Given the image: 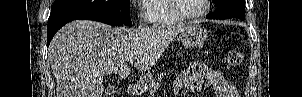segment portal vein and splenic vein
<instances>
[{
    "mask_svg": "<svg viewBox=\"0 0 302 97\" xmlns=\"http://www.w3.org/2000/svg\"><path fill=\"white\" fill-rule=\"evenodd\" d=\"M134 59H135L134 57H129V58H128V62H129V63H133Z\"/></svg>",
    "mask_w": 302,
    "mask_h": 97,
    "instance_id": "obj_1",
    "label": "portal vein and splenic vein"
}]
</instances>
